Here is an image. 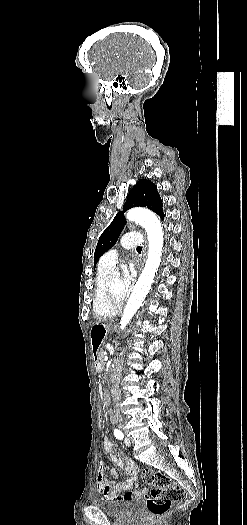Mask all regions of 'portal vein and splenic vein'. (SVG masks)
<instances>
[{
	"instance_id": "18ae733b",
	"label": "portal vein and splenic vein",
	"mask_w": 247,
	"mask_h": 525,
	"mask_svg": "<svg viewBox=\"0 0 247 525\" xmlns=\"http://www.w3.org/2000/svg\"><path fill=\"white\" fill-rule=\"evenodd\" d=\"M103 356H105L104 361H108V355H106V353H103Z\"/></svg>"
}]
</instances>
